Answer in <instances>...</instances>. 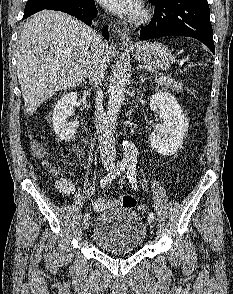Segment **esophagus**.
Masks as SVG:
<instances>
[{"mask_svg": "<svg viewBox=\"0 0 233 294\" xmlns=\"http://www.w3.org/2000/svg\"><path fill=\"white\" fill-rule=\"evenodd\" d=\"M120 40H121L122 44L127 47L135 46L134 41L131 39V37L126 32L121 33Z\"/></svg>", "mask_w": 233, "mask_h": 294, "instance_id": "obj_1", "label": "esophagus"}]
</instances>
